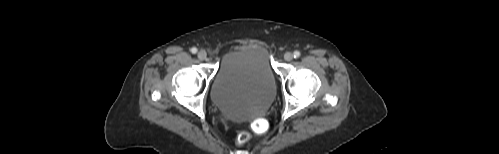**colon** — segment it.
<instances>
[{
  "label": "colon",
  "mask_w": 499,
  "mask_h": 154,
  "mask_svg": "<svg viewBox=\"0 0 499 154\" xmlns=\"http://www.w3.org/2000/svg\"><path fill=\"white\" fill-rule=\"evenodd\" d=\"M251 128L256 133H263L268 129V125L264 120H255ZM250 139V134L248 132H242L237 138L238 144H244Z\"/></svg>",
  "instance_id": "obj_1"
}]
</instances>
